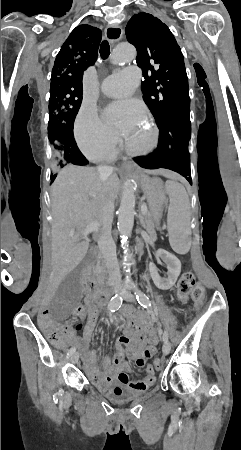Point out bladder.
Wrapping results in <instances>:
<instances>
[{"label":"bladder","instance_id":"obj_1","mask_svg":"<svg viewBox=\"0 0 241 450\" xmlns=\"http://www.w3.org/2000/svg\"><path fill=\"white\" fill-rule=\"evenodd\" d=\"M105 395L114 402H128L137 398L140 393L122 382H116L105 391Z\"/></svg>","mask_w":241,"mask_h":450}]
</instances>
